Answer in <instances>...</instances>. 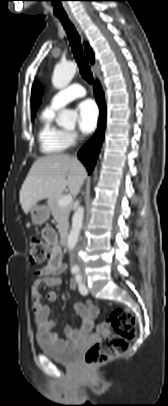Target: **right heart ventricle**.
<instances>
[{"label":"right heart ventricle","mask_w":168,"mask_h":406,"mask_svg":"<svg viewBox=\"0 0 168 406\" xmlns=\"http://www.w3.org/2000/svg\"><path fill=\"white\" fill-rule=\"evenodd\" d=\"M56 108L46 107L40 115L38 140L40 149L45 154H57L70 146L67 132L55 124Z\"/></svg>","instance_id":"right-heart-ventricle-1"}]
</instances>
